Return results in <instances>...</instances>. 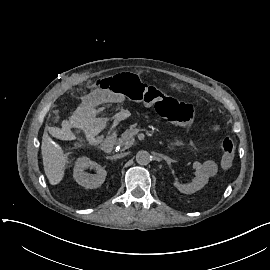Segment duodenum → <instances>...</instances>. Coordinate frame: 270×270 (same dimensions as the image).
Listing matches in <instances>:
<instances>
[{
  "mask_svg": "<svg viewBox=\"0 0 270 270\" xmlns=\"http://www.w3.org/2000/svg\"><path fill=\"white\" fill-rule=\"evenodd\" d=\"M116 143V132L113 131L110 135H108L104 141L101 144V149L105 152V153H110Z\"/></svg>",
  "mask_w": 270,
  "mask_h": 270,
  "instance_id": "410a0bca",
  "label": "duodenum"
}]
</instances>
